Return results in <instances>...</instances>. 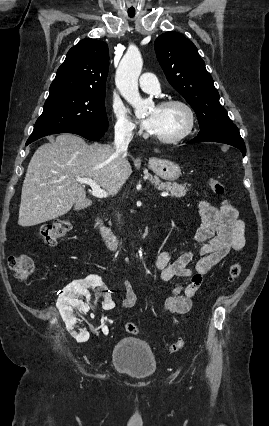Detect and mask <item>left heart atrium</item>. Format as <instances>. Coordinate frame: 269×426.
I'll return each mask as SVG.
<instances>
[{
	"instance_id": "39dd6f15",
	"label": "left heart atrium",
	"mask_w": 269,
	"mask_h": 426,
	"mask_svg": "<svg viewBox=\"0 0 269 426\" xmlns=\"http://www.w3.org/2000/svg\"><path fill=\"white\" fill-rule=\"evenodd\" d=\"M154 120H155V116L154 115H150L148 117H146L143 121H142V125L145 129L150 130L154 124Z\"/></svg>"
}]
</instances>
